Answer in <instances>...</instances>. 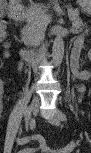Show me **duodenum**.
I'll list each match as a JSON object with an SVG mask.
<instances>
[{
  "instance_id": "obj_1",
  "label": "duodenum",
  "mask_w": 91,
  "mask_h": 153,
  "mask_svg": "<svg viewBox=\"0 0 91 153\" xmlns=\"http://www.w3.org/2000/svg\"><path fill=\"white\" fill-rule=\"evenodd\" d=\"M18 21H21L23 19V11L16 10L12 13ZM20 56L25 61L33 62L37 60L40 56L45 54V49H28V48H21L20 49Z\"/></svg>"
}]
</instances>
